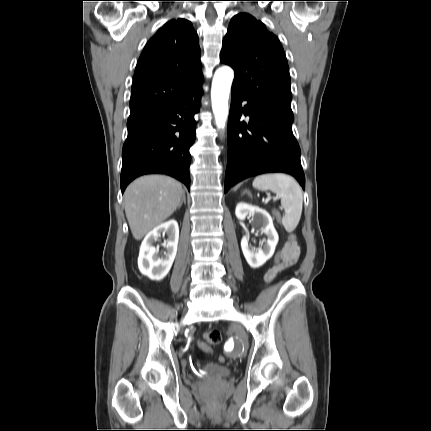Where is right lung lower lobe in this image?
Wrapping results in <instances>:
<instances>
[{
	"label": "right lung lower lobe",
	"instance_id": "1",
	"mask_svg": "<svg viewBox=\"0 0 431 431\" xmlns=\"http://www.w3.org/2000/svg\"><path fill=\"white\" fill-rule=\"evenodd\" d=\"M202 82L170 103L129 116L122 150V193L132 180L151 173L170 175L190 188L189 149L195 141L194 115L200 107Z\"/></svg>",
	"mask_w": 431,
	"mask_h": 431
}]
</instances>
